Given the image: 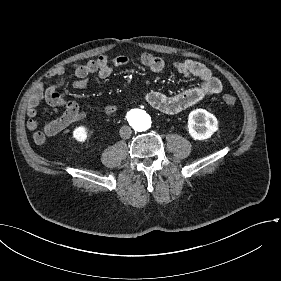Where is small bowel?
<instances>
[{"instance_id":"c3829d8e","label":"small bowel","mask_w":281,"mask_h":281,"mask_svg":"<svg viewBox=\"0 0 281 281\" xmlns=\"http://www.w3.org/2000/svg\"><path fill=\"white\" fill-rule=\"evenodd\" d=\"M139 61L154 73L164 71L167 66L162 58L149 53L141 54ZM130 62L131 59L127 55H119L114 58L102 55L87 63L76 64L73 67L76 76L73 87L77 90H83L89 85L90 75L97 74L99 78L106 79L111 75L114 68L128 66ZM171 68L190 80H199V83L188 90L172 96H167L155 90L148 91L145 95L146 102L163 114L175 115L181 113L202 99L219 94L222 91L223 85L221 80L202 63L192 60L177 61L172 63ZM64 73V68L56 67L50 70L47 78L63 77ZM63 84L64 78L46 88L39 86L29 102L27 108V128L30 131H34L33 141L35 145H42L45 137L56 136L71 124L85 118V112L81 110L78 102L66 99L59 94L58 89ZM43 102L50 105L56 113L61 108L64 110L55 120L47 123L43 131H39L36 117L38 115V107ZM117 111L118 107L115 104H107L103 108V112L107 115H113ZM39 133L42 136H36Z\"/></svg>"}]
</instances>
